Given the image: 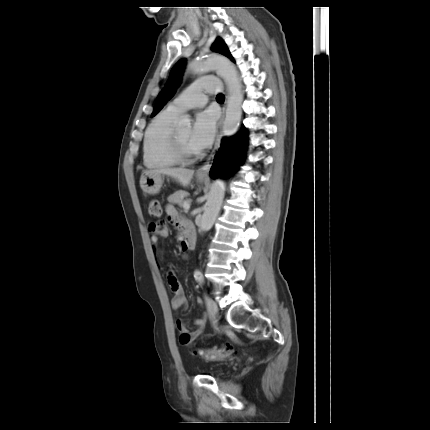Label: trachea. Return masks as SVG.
Masks as SVG:
<instances>
[{"label": "trachea", "mask_w": 430, "mask_h": 430, "mask_svg": "<svg viewBox=\"0 0 430 430\" xmlns=\"http://www.w3.org/2000/svg\"><path fill=\"white\" fill-rule=\"evenodd\" d=\"M216 99L217 100H224L225 96L223 94H219V95H217Z\"/></svg>", "instance_id": "obj_1"}]
</instances>
